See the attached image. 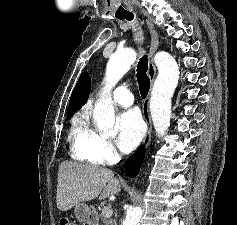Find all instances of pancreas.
Instances as JSON below:
<instances>
[{
	"label": "pancreas",
	"instance_id": "cf45deb5",
	"mask_svg": "<svg viewBox=\"0 0 237 225\" xmlns=\"http://www.w3.org/2000/svg\"><path fill=\"white\" fill-rule=\"evenodd\" d=\"M101 222L104 224V225H114V222L111 218H107L103 215H101Z\"/></svg>",
	"mask_w": 237,
	"mask_h": 225
}]
</instances>
